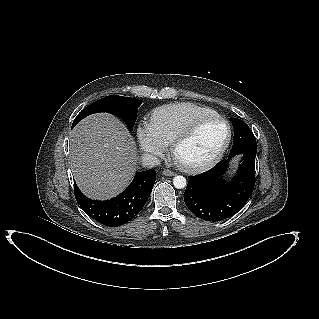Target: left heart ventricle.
Wrapping results in <instances>:
<instances>
[{
  "instance_id": "obj_1",
  "label": "left heart ventricle",
  "mask_w": 319,
  "mask_h": 319,
  "mask_svg": "<svg viewBox=\"0 0 319 319\" xmlns=\"http://www.w3.org/2000/svg\"><path fill=\"white\" fill-rule=\"evenodd\" d=\"M225 136L226 127L221 121H207L178 147L176 156L180 161L190 164L206 161L218 150Z\"/></svg>"
}]
</instances>
